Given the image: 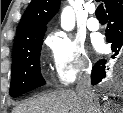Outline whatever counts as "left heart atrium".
I'll return each mask as SVG.
<instances>
[{
    "label": "left heart atrium",
    "mask_w": 123,
    "mask_h": 113,
    "mask_svg": "<svg viewBox=\"0 0 123 113\" xmlns=\"http://www.w3.org/2000/svg\"><path fill=\"white\" fill-rule=\"evenodd\" d=\"M95 47H96V49L98 51H103V49H104V43H103L102 39H100V38L96 39V41H95Z\"/></svg>",
    "instance_id": "39dd6f15"
}]
</instances>
